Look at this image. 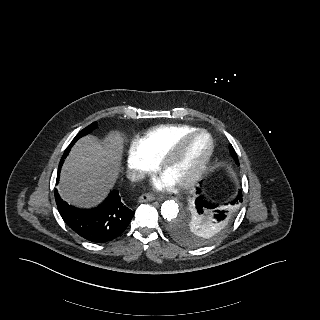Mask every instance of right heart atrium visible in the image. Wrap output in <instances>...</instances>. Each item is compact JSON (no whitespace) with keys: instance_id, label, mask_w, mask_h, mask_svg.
Returning <instances> with one entry per match:
<instances>
[{"instance_id":"d8ad5b80","label":"right heart atrium","mask_w":320,"mask_h":320,"mask_svg":"<svg viewBox=\"0 0 320 320\" xmlns=\"http://www.w3.org/2000/svg\"><path fill=\"white\" fill-rule=\"evenodd\" d=\"M126 166L133 178L138 179L154 170L156 167V163L146 157L136 145H134L127 157H126Z\"/></svg>"}]
</instances>
